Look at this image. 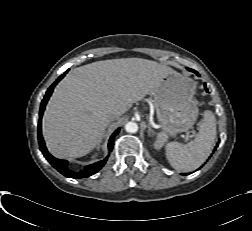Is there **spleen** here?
Instances as JSON below:
<instances>
[{
	"label": "spleen",
	"instance_id": "obj_1",
	"mask_svg": "<svg viewBox=\"0 0 252 231\" xmlns=\"http://www.w3.org/2000/svg\"><path fill=\"white\" fill-rule=\"evenodd\" d=\"M216 119L207 110L200 123L199 132L187 144L170 142L166 146V156L170 165L177 171L189 172L200 167L208 158L216 138Z\"/></svg>",
	"mask_w": 252,
	"mask_h": 231
}]
</instances>
